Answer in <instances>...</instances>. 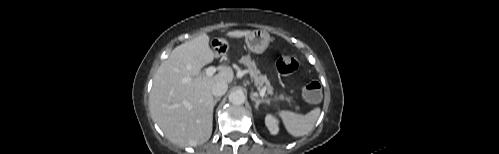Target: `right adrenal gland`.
<instances>
[{
  "label": "right adrenal gland",
  "mask_w": 499,
  "mask_h": 154,
  "mask_svg": "<svg viewBox=\"0 0 499 154\" xmlns=\"http://www.w3.org/2000/svg\"><path fill=\"white\" fill-rule=\"evenodd\" d=\"M219 100H220V97L216 98V99L214 100V105H216V104H217V102H218Z\"/></svg>",
  "instance_id": "right-adrenal-gland-1"
}]
</instances>
